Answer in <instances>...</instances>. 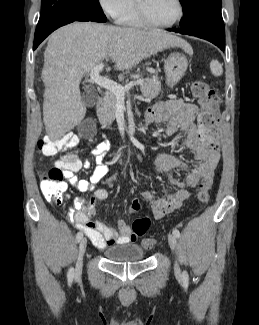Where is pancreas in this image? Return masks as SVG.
<instances>
[{
  "label": "pancreas",
  "mask_w": 259,
  "mask_h": 325,
  "mask_svg": "<svg viewBox=\"0 0 259 325\" xmlns=\"http://www.w3.org/2000/svg\"><path fill=\"white\" fill-rule=\"evenodd\" d=\"M140 90L144 97L154 98L158 96L161 91V82L157 74L151 78H145L140 85ZM117 100L111 91L105 93L101 106L97 109V116L101 125L109 126L115 120Z\"/></svg>",
  "instance_id": "1"
}]
</instances>
